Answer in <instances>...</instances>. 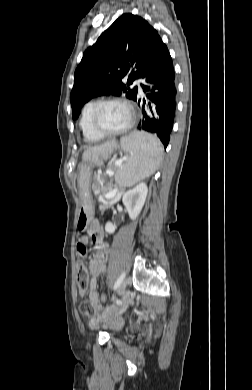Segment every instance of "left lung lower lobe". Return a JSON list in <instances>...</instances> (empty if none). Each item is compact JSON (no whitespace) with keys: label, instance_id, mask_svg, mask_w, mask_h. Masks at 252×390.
Wrapping results in <instances>:
<instances>
[{"label":"left lung lower lobe","instance_id":"0a47b994","mask_svg":"<svg viewBox=\"0 0 252 390\" xmlns=\"http://www.w3.org/2000/svg\"><path fill=\"white\" fill-rule=\"evenodd\" d=\"M141 78L144 80L141 87L146 93L143 98L146 107L142 108L143 120L138 129L158 136L166 148L176 113L177 85L172 58L164 43Z\"/></svg>","mask_w":252,"mask_h":390}]
</instances>
